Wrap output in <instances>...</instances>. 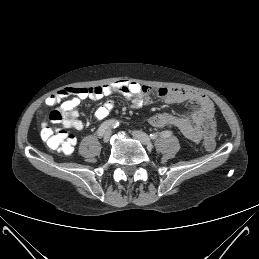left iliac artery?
I'll use <instances>...</instances> for the list:
<instances>
[{"label":"left iliac artery","mask_w":259,"mask_h":259,"mask_svg":"<svg viewBox=\"0 0 259 259\" xmlns=\"http://www.w3.org/2000/svg\"><path fill=\"white\" fill-rule=\"evenodd\" d=\"M160 135H161V137H169L172 135V131H170V130L162 131L160 133Z\"/></svg>","instance_id":"1"}]
</instances>
